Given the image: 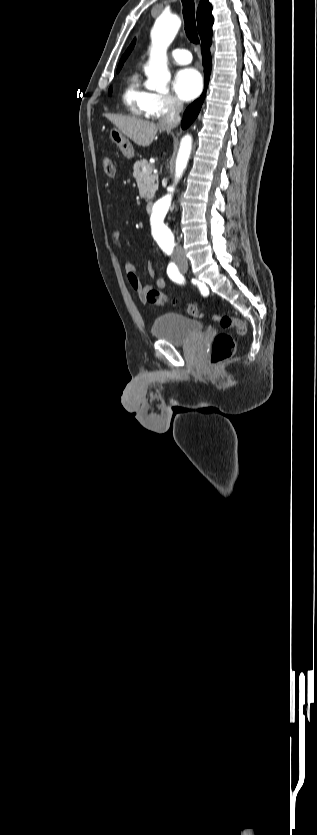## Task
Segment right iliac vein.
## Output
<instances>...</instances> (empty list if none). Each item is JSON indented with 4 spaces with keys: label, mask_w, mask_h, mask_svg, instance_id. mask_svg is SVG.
Masks as SVG:
<instances>
[{
    "label": "right iliac vein",
    "mask_w": 317,
    "mask_h": 835,
    "mask_svg": "<svg viewBox=\"0 0 317 835\" xmlns=\"http://www.w3.org/2000/svg\"><path fill=\"white\" fill-rule=\"evenodd\" d=\"M184 263H185L184 260H182V261L179 262V265L184 264Z\"/></svg>",
    "instance_id": "right-iliac-vein-1"
}]
</instances>
